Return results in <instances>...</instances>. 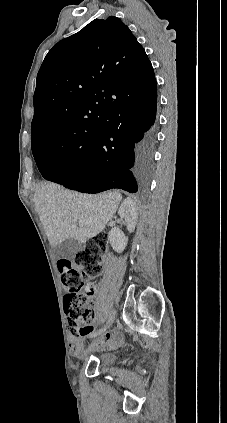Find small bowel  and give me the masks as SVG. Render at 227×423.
<instances>
[{
  "mask_svg": "<svg viewBox=\"0 0 227 423\" xmlns=\"http://www.w3.org/2000/svg\"><path fill=\"white\" fill-rule=\"evenodd\" d=\"M90 294L94 292V286L90 284ZM93 326L91 324H87L83 326L82 331L78 336H73L70 338V350L73 355H78L82 348L83 338L89 336L93 332ZM120 343V337L116 333H107L103 339L99 342L101 345H109V346H116Z\"/></svg>",
  "mask_w": 227,
  "mask_h": 423,
  "instance_id": "small-bowel-1",
  "label": "small bowel"
}]
</instances>
